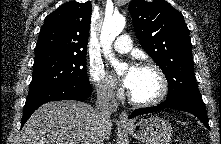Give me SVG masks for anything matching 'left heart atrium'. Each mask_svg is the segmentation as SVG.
<instances>
[{
    "instance_id": "obj_1",
    "label": "left heart atrium",
    "mask_w": 221,
    "mask_h": 144,
    "mask_svg": "<svg viewBox=\"0 0 221 144\" xmlns=\"http://www.w3.org/2000/svg\"><path fill=\"white\" fill-rule=\"evenodd\" d=\"M137 72H138V68L135 66L130 67V69L128 70L126 76L123 79V85L127 89L131 90L132 87L134 86Z\"/></svg>"
}]
</instances>
